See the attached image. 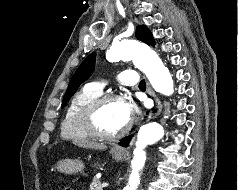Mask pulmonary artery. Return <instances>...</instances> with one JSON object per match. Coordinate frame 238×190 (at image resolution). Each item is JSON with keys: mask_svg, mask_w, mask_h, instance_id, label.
<instances>
[{"mask_svg": "<svg viewBox=\"0 0 238 190\" xmlns=\"http://www.w3.org/2000/svg\"><path fill=\"white\" fill-rule=\"evenodd\" d=\"M118 81L122 85L135 86L136 84H138L139 79L135 71L124 70L118 74ZM88 86L99 93H101L104 88V84L101 82H93L90 83Z\"/></svg>", "mask_w": 238, "mask_h": 190, "instance_id": "pulmonary-artery-1", "label": "pulmonary artery"}]
</instances>
